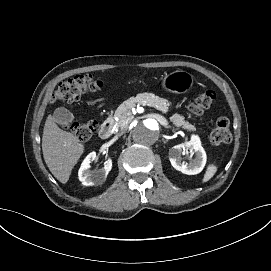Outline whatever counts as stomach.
Here are the masks:
<instances>
[{
	"label": "stomach",
	"mask_w": 271,
	"mask_h": 271,
	"mask_svg": "<svg viewBox=\"0 0 271 271\" xmlns=\"http://www.w3.org/2000/svg\"><path fill=\"white\" fill-rule=\"evenodd\" d=\"M193 83V75L183 70H177L166 74L161 85L168 92L182 94L187 92L193 86Z\"/></svg>",
	"instance_id": "obj_1"
}]
</instances>
